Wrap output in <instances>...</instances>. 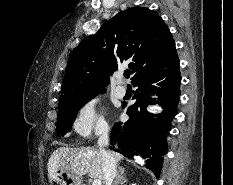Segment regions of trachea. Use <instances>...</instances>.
<instances>
[{
  "instance_id": "obj_1",
  "label": "trachea",
  "mask_w": 233,
  "mask_h": 185,
  "mask_svg": "<svg viewBox=\"0 0 233 185\" xmlns=\"http://www.w3.org/2000/svg\"><path fill=\"white\" fill-rule=\"evenodd\" d=\"M124 76H125L126 78H129V77H130V71H129V70H126V71L124 72Z\"/></svg>"
}]
</instances>
